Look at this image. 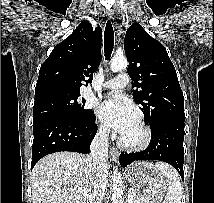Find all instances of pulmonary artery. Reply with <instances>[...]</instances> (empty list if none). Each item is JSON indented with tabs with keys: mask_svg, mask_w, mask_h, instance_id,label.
Returning <instances> with one entry per match:
<instances>
[{
	"mask_svg": "<svg viewBox=\"0 0 214 203\" xmlns=\"http://www.w3.org/2000/svg\"><path fill=\"white\" fill-rule=\"evenodd\" d=\"M129 82V77L127 74H119L116 77L103 83V89H121L124 88Z\"/></svg>",
	"mask_w": 214,
	"mask_h": 203,
	"instance_id": "e3ab8cb5",
	"label": "pulmonary artery"
}]
</instances>
